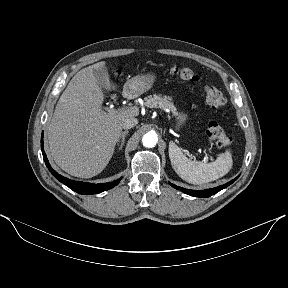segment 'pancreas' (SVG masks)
<instances>
[{"mask_svg": "<svg viewBox=\"0 0 288 288\" xmlns=\"http://www.w3.org/2000/svg\"><path fill=\"white\" fill-rule=\"evenodd\" d=\"M145 106L148 108H161L163 110H169L174 115L176 114V107L173 102H171V98L167 96L161 95H150L145 99Z\"/></svg>", "mask_w": 288, "mask_h": 288, "instance_id": "1", "label": "pancreas"}]
</instances>
